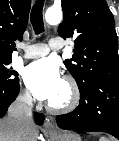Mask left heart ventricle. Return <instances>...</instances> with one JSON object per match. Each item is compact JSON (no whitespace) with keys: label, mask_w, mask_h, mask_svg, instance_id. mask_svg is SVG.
<instances>
[{"label":"left heart ventricle","mask_w":119,"mask_h":141,"mask_svg":"<svg viewBox=\"0 0 119 141\" xmlns=\"http://www.w3.org/2000/svg\"><path fill=\"white\" fill-rule=\"evenodd\" d=\"M68 99V89L65 84L62 82L61 87L57 94L50 100L53 104H62Z\"/></svg>","instance_id":"obj_1"}]
</instances>
